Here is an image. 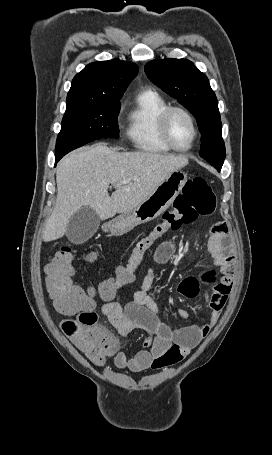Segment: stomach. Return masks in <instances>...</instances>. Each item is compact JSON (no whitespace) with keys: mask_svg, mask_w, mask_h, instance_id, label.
Wrapping results in <instances>:
<instances>
[{"mask_svg":"<svg viewBox=\"0 0 272 455\" xmlns=\"http://www.w3.org/2000/svg\"><path fill=\"white\" fill-rule=\"evenodd\" d=\"M186 182L185 172H172L139 206L110 221L109 231L112 235L120 236L139 224L154 220L170 207Z\"/></svg>","mask_w":272,"mask_h":455,"instance_id":"stomach-1","label":"stomach"}]
</instances>
